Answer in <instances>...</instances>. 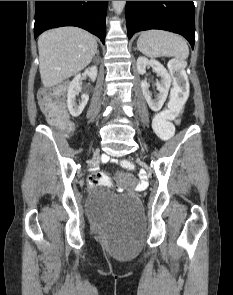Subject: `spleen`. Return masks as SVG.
I'll return each instance as SVG.
<instances>
[{"label": "spleen", "mask_w": 233, "mask_h": 295, "mask_svg": "<svg viewBox=\"0 0 233 295\" xmlns=\"http://www.w3.org/2000/svg\"><path fill=\"white\" fill-rule=\"evenodd\" d=\"M137 48L148 57H176L185 60L189 48L185 39L164 30H148L141 33L137 40Z\"/></svg>", "instance_id": "obj_1"}]
</instances>
